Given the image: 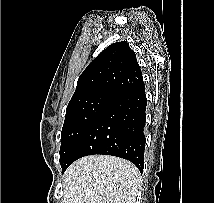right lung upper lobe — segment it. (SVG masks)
<instances>
[{
    "label": "right lung upper lobe",
    "mask_w": 214,
    "mask_h": 203,
    "mask_svg": "<svg viewBox=\"0 0 214 203\" xmlns=\"http://www.w3.org/2000/svg\"><path fill=\"white\" fill-rule=\"evenodd\" d=\"M141 83L143 78L136 55L126 41H121L109 45L87 66L71 100L93 94L113 98Z\"/></svg>",
    "instance_id": "cb5924a9"
}]
</instances>
